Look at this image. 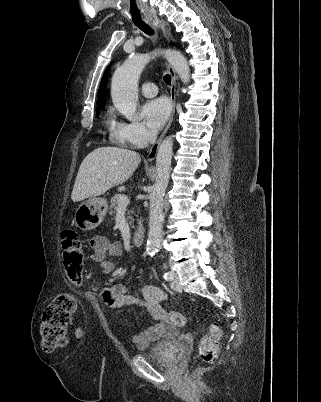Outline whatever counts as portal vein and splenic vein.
Listing matches in <instances>:
<instances>
[{
  "instance_id": "18ae733b",
  "label": "portal vein and splenic vein",
  "mask_w": 321,
  "mask_h": 402,
  "mask_svg": "<svg viewBox=\"0 0 321 402\" xmlns=\"http://www.w3.org/2000/svg\"><path fill=\"white\" fill-rule=\"evenodd\" d=\"M129 204V199L126 195H121L118 200V207H126Z\"/></svg>"
}]
</instances>
